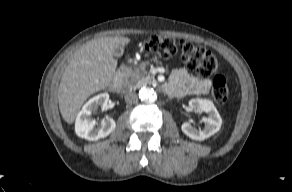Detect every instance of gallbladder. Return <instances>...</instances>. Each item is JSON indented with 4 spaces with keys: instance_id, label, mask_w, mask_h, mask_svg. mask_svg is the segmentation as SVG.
Masks as SVG:
<instances>
[{
    "instance_id": "gallbladder-1",
    "label": "gallbladder",
    "mask_w": 292,
    "mask_h": 192,
    "mask_svg": "<svg viewBox=\"0 0 292 192\" xmlns=\"http://www.w3.org/2000/svg\"><path fill=\"white\" fill-rule=\"evenodd\" d=\"M123 53H124V49L121 46L116 47L113 51V55L115 57H121L123 55Z\"/></svg>"
}]
</instances>
